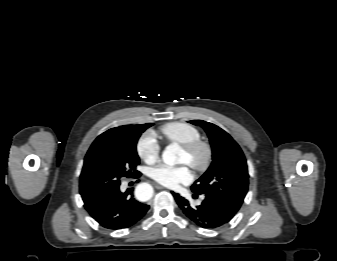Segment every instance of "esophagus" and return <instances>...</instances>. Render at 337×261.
Wrapping results in <instances>:
<instances>
[{"label":"esophagus","mask_w":337,"mask_h":261,"mask_svg":"<svg viewBox=\"0 0 337 261\" xmlns=\"http://www.w3.org/2000/svg\"><path fill=\"white\" fill-rule=\"evenodd\" d=\"M154 186H155L156 189H159V190L164 189V187L159 185V184H154Z\"/></svg>","instance_id":"obj_1"}]
</instances>
